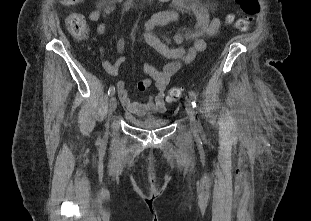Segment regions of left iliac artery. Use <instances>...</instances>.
Returning a JSON list of instances; mask_svg holds the SVG:
<instances>
[{"label":"left iliac artery","instance_id":"left-iliac-artery-1","mask_svg":"<svg viewBox=\"0 0 311 221\" xmlns=\"http://www.w3.org/2000/svg\"><path fill=\"white\" fill-rule=\"evenodd\" d=\"M189 97L192 103L193 108L197 109V97L196 94L193 91H189ZM198 125H200V123L198 122Z\"/></svg>","mask_w":311,"mask_h":221}]
</instances>
